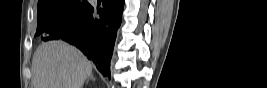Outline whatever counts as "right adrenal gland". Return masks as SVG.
Wrapping results in <instances>:
<instances>
[{
  "label": "right adrenal gland",
  "instance_id": "2a0ac1e0",
  "mask_svg": "<svg viewBox=\"0 0 267 88\" xmlns=\"http://www.w3.org/2000/svg\"><path fill=\"white\" fill-rule=\"evenodd\" d=\"M89 78L94 80V78H93V75H92V74L89 76ZM88 80H89V79H88ZM88 80H87V82H88Z\"/></svg>",
  "mask_w": 267,
  "mask_h": 88
}]
</instances>
